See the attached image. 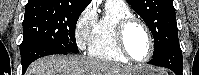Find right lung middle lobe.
<instances>
[{
  "instance_id": "obj_1",
  "label": "right lung middle lobe",
  "mask_w": 199,
  "mask_h": 75,
  "mask_svg": "<svg viewBox=\"0 0 199 75\" xmlns=\"http://www.w3.org/2000/svg\"><path fill=\"white\" fill-rule=\"evenodd\" d=\"M23 41L20 51L42 44L62 51L78 53L75 27L84 9L63 5L26 6Z\"/></svg>"
}]
</instances>
